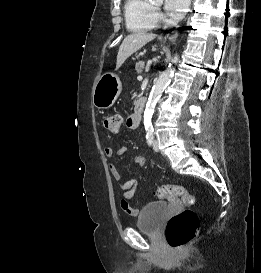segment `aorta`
<instances>
[{
	"label": "aorta",
	"mask_w": 261,
	"mask_h": 273,
	"mask_svg": "<svg viewBox=\"0 0 261 273\" xmlns=\"http://www.w3.org/2000/svg\"><path fill=\"white\" fill-rule=\"evenodd\" d=\"M156 1H162V0H156ZM179 60L178 55L174 56L172 59V62L175 63ZM174 69L173 67L166 68L159 76L157 81L154 83L152 90L150 92L148 101L146 103L145 111H144V126L145 129H151L152 128V116L154 113L155 106L157 104V101L161 97L164 89L169 84L171 77L173 76Z\"/></svg>",
	"instance_id": "762f6f07"
}]
</instances>
